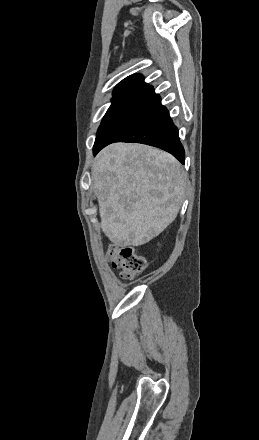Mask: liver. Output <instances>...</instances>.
Listing matches in <instances>:
<instances>
[{
    "instance_id": "6515ba94",
    "label": "liver",
    "mask_w": 259,
    "mask_h": 440,
    "mask_svg": "<svg viewBox=\"0 0 259 440\" xmlns=\"http://www.w3.org/2000/svg\"><path fill=\"white\" fill-rule=\"evenodd\" d=\"M103 233L117 246H141L177 217L185 173L169 153L143 144L115 143L92 168Z\"/></svg>"
}]
</instances>
